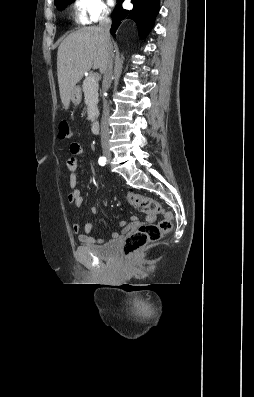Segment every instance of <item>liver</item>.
<instances>
[{"label":"liver","mask_w":254,"mask_h":397,"mask_svg":"<svg viewBox=\"0 0 254 397\" xmlns=\"http://www.w3.org/2000/svg\"><path fill=\"white\" fill-rule=\"evenodd\" d=\"M107 51L99 27L79 29L62 41L57 52V76L65 110L69 108L73 87L85 72L92 67L104 72Z\"/></svg>","instance_id":"1"}]
</instances>
